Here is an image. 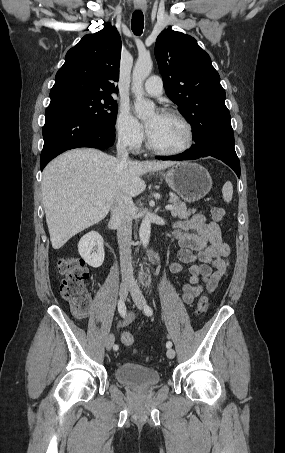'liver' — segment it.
<instances>
[{"mask_svg": "<svg viewBox=\"0 0 285 453\" xmlns=\"http://www.w3.org/2000/svg\"><path fill=\"white\" fill-rule=\"evenodd\" d=\"M176 162L122 164L119 158L92 148L74 149L51 161L43 171L42 198L50 240L60 249L71 237L104 219L117 194L138 196L141 178Z\"/></svg>", "mask_w": 285, "mask_h": 453, "instance_id": "1", "label": "liver"}]
</instances>
